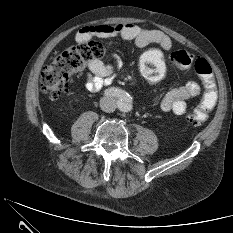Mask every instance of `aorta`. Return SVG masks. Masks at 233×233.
<instances>
[{
    "label": "aorta",
    "mask_w": 233,
    "mask_h": 233,
    "mask_svg": "<svg viewBox=\"0 0 233 233\" xmlns=\"http://www.w3.org/2000/svg\"><path fill=\"white\" fill-rule=\"evenodd\" d=\"M119 109L123 112H129L132 110V97L129 95H123L120 100Z\"/></svg>",
    "instance_id": "762f6f07"
}]
</instances>
